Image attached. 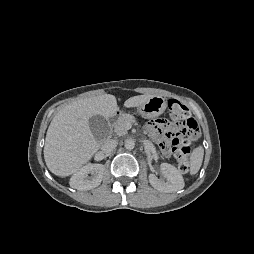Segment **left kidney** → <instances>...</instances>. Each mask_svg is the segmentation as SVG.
I'll return each mask as SVG.
<instances>
[{
	"instance_id": "obj_1",
	"label": "left kidney",
	"mask_w": 254,
	"mask_h": 254,
	"mask_svg": "<svg viewBox=\"0 0 254 254\" xmlns=\"http://www.w3.org/2000/svg\"><path fill=\"white\" fill-rule=\"evenodd\" d=\"M160 167L167 181L158 179L155 174H150L149 182L155 189L170 193L176 192L184 187L183 177L176 167L168 163H162Z\"/></svg>"
}]
</instances>
